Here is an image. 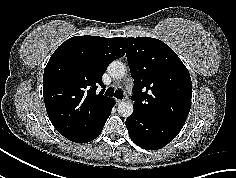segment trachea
<instances>
[{"mask_svg": "<svg viewBox=\"0 0 236 178\" xmlns=\"http://www.w3.org/2000/svg\"><path fill=\"white\" fill-rule=\"evenodd\" d=\"M106 96L112 97L115 96L118 99H122L123 98V92L121 90H115L112 87H109L106 92H105Z\"/></svg>", "mask_w": 236, "mask_h": 178, "instance_id": "obj_1", "label": "trachea"}]
</instances>
